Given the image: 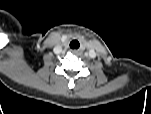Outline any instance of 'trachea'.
I'll return each mask as SVG.
<instances>
[{"instance_id":"obj_1","label":"trachea","mask_w":151,"mask_h":114,"mask_svg":"<svg viewBox=\"0 0 151 114\" xmlns=\"http://www.w3.org/2000/svg\"><path fill=\"white\" fill-rule=\"evenodd\" d=\"M69 46H70V48L73 49V50H74V49H78L79 46H80V43H79L78 40L73 39V40L70 41Z\"/></svg>"}]
</instances>
